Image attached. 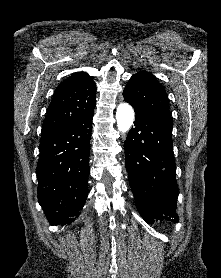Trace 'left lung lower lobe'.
I'll use <instances>...</instances> for the list:
<instances>
[{
  "mask_svg": "<svg viewBox=\"0 0 221 278\" xmlns=\"http://www.w3.org/2000/svg\"><path fill=\"white\" fill-rule=\"evenodd\" d=\"M134 126L124 149L136 207L147 223L162 219L178 222L172 118L136 115Z\"/></svg>",
  "mask_w": 221,
  "mask_h": 278,
  "instance_id": "left-lung-lower-lobe-1",
  "label": "left lung lower lobe"
}]
</instances>
